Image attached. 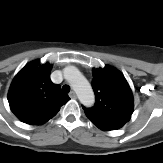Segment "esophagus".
I'll return each instance as SVG.
<instances>
[{
	"label": "esophagus",
	"mask_w": 163,
	"mask_h": 163,
	"mask_svg": "<svg viewBox=\"0 0 163 163\" xmlns=\"http://www.w3.org/2000/svg\"><path fill=\"white\" fill-rule=\"evenodd\" d=\"M69 97L72 98V99H76L77 98V95H76V93L74 91H71L69 93Z\"/></svg>",
	"instance_id": "34e87169"
}]
</instances>
